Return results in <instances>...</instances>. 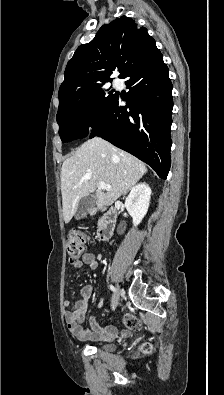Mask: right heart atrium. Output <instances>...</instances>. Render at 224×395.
Returning <instances> with one entry per match:
<instances>
[{"instance_id": "d8ad5b80", "label": "right heart atrium", "mask_w": 224, "mask_h": 395, "mask_svg": "<svg viewBox=\"0 0 224 395\" xmlns=\"http://www.w3.org/2000/svg\"><path fill=\"white\" fill-rule=\"evenodd\" d=\"M83 123H84L85 125H89V124L91 123V118H90L89 116H86V117L83 119Z\"/></svg>"}]
</instances>
